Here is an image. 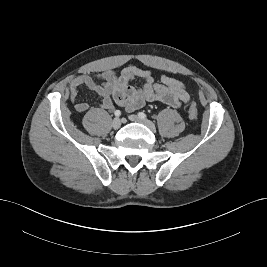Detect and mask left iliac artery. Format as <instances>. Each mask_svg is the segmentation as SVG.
Masks as SVG:
<instances>
[{
	"mask_svg": "<svg viewBox=\"0 0 267 267\" xmlns=\"http://www.w3.org/2000/svg\"><path fill=\"white\" fill-rule=\"evenodd\" d=\"M138 116H139L140 118H142V119H146V118H147V115H146L145 113H143V112H139V113H138Z\"/></svg>",
	"mask_w": 267,
	"mask_h": 267,
	"instance_id": "1",
	"label": "left iliac artery"
}]
</instances>
